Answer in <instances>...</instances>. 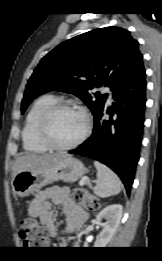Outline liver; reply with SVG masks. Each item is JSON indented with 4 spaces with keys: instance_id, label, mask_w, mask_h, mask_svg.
<instances>
[{
    "instance_id": "1",
    "label": "liver",
    "mask_w": 162,
    "mask_h": 261,
    "mask_svg": "<svg viewBox=\"0 0 162 261\" xmlns=\"http://www.w3.org/2000/svg\"><path fill=\"white\" fill-rule=\"evenodd\" d=\"M66 154H26L18 157L13 166V178L22 171H35L49 167L53 162L64 157Z\"/></svg>"
}]
</instances>
